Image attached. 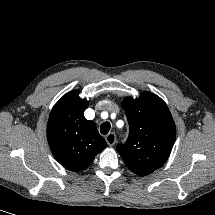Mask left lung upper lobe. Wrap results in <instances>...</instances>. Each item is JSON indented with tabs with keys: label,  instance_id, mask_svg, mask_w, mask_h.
Segmentation results:
<instances>
[{
	"label": "left lung upper lobe",
	"instance_id": "left-lung-upper-lobe-1",
	"mask_svg": "<svg viewBox=\"0 0 215 215\" xmlns=\"http://www.w3.org/2000/svg\"><path fill=\"white\" fill-rule=\"evenodd\" d=\"M122 106L130 131L117 151L130 170L146 176L167 161L175 141V123L166 103L148 91L136 99L125 98Z\"/></svg>",
	"mask_w": 215,
	"mask_h": 215
}]
</instances>
